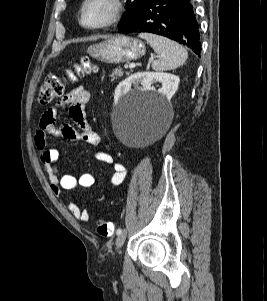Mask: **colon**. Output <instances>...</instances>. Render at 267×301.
I'll return each mask as SVG.
<instances>
[{
	"label": "colon",
	"instance_id": "obj_1",
	"mask_svg": "<svg viewBox=\"0 0 267 301\" xmlns=\"http://www.w3.org/2000/svg\"><path fill=\"white\" fill-rule=\"evenodd\" d=\"M96 71V67L89 58L83 57L72 69H68L64 76L49 75L40 88L38 101L42 105L51 103L55 98L61 96L69 82ZM96 230L103 237L112 236L114 224L106 219H100L96 223Z\"/></svg>",
	"mask_w": 267,
	"mask_h": 301
}]
</instances>
